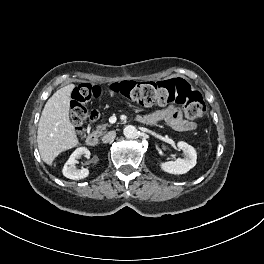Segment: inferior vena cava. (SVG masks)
Wrapping results in <instances>:
<instances>
[{"label": "inferior vena cava", "mask_w": 264, "mask_h": 264, "mask_svg": "<svg viewBox=\"0 0 264 264\" xmlns=\"http://www.w3.org/2000/svg\"><path fill=\"white\" fill-rule=\"evenodd\" d=\"M116 137V132L115 131H110L108 133H106L103 137H102V142L103 143H109L112 142Z\"/></svg>", "instance_id": "obj_1"}]
</instances>
